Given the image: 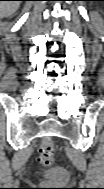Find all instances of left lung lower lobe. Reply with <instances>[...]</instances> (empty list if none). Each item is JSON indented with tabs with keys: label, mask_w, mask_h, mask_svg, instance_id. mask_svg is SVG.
Masks as SVG:
<instances>
[{
	"label": "left lung lower lobe",
	"mask_w": 104,
	"mask_h": 189,
	"mask_svg": "<svg viewBox=\"0 0 104 189\" xmlns=\"http://www.w3.org/2000/svg\"><path fill=\"white\" fill-rule=\"evenodd\" d=\"M86 1H103V0H86Z\"/></svg>",
	"instance_id": "1"
}]
</instances>
